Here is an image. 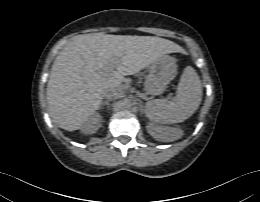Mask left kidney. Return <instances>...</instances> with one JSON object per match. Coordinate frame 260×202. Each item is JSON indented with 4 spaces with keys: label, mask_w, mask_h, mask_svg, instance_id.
I'll return each instance as SVG.
<instances>
[{
    "label": "left kidney",
    "mask_w": 260,
    "mask_h": 202,
    "mask_svg": "<svg viewBox=\"0 0 260 202\" xmlns=\"http://www.w3.org/2000/svg\"><path fill=\"white\" fill-rule=\"evenodd\" d=\"M147 128H148L149 134L151 136H153L155 139L163 138V137L168 136V135H170L171 133L174 132L173 129L160 127V126H157L153 123H150L147 126Z\"/></svg>",
    "instance_id": "obj_1"
}]
</instances>
